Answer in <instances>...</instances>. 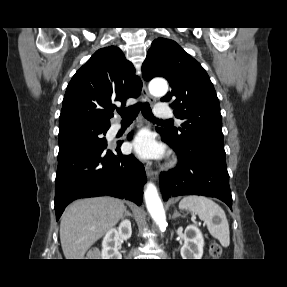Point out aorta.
<instances>
[{
	"label": "aorta",
	"mask_w": 287,
	"mask_h": 287,
	"mask_svg": "<svg viewBox=\"0 0 287 287\" xmlns=\"http://www.w3.org/2000/svg\"><path fill=\"white\" fill-rule=\"evenodd\" d=\"M149 90L152 94L162 96L168 91L167 82L164 80L152 81L149 85ZM146 207L155 224L161 231H164L167 226L165 210L162 201L159 197L157 188L154 184L148 183L144 192Z\"/></svg>",
	"instance_id": "aorta-1"
}]
</instances>
